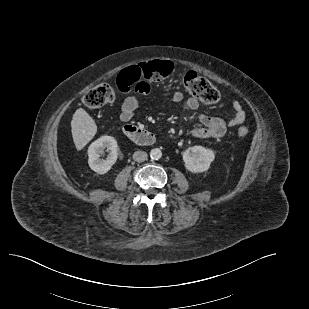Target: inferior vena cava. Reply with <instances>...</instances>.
Listing matches in <instances>:
<instances>
[{
	"mask_svg": "<svg viewBox=\"0 0 309 309\" xmlns=\"http://www.w3.org/2000/svg\"><path fill=\"white\" fill-rule=\"evenodd\" d=\"M147 153L144 152V151H136L134 154H133V159L136 161V162H143L145 160H147Z\"/></svg>",
	"mask_w": 309,
	"mask_h": 309,
	"instance_id": "1",
	"label": "inferior vena cava"
}]
</instances>
